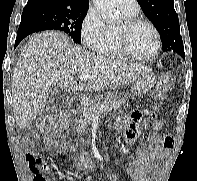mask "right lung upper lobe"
<instances>
[{
  "instance_id": "right-lung-upper-lobe-1",
  "label": "right lung upper lobe",
  "mask_w": 197,
  "mask_h": 181,
  "mask_svg": "<svg viewBox=\"0 0 197 181\" xmlns=\"http://www.w3.org/2000/svg\"><path fill=\"white\" fill-rule=\"evenodd\" d=\"M48 7L69 10H86L89 8V0H28L25 10Z\"/></svg>"
}]
</instances>
